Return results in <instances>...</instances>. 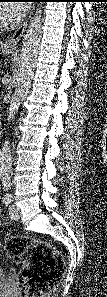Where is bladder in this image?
I'll list each match as a JSON object with an SVG mask.
<instances>
[{
    "label": "bladder",
    "mask_w": 107,
    "mask_h": 297,
    "mask_svg": "<svg viewBox=\"0 0 107 297\" xmlns=\"http://www.w3.org/2000/svg\"><path fill=\"white\" fill-rule=\"evenodd\" d=\"M0 277H1V280L4 279V273L2 271H0Z\"/></svg>",
    "instance_id": "1"
}]
</instances>
